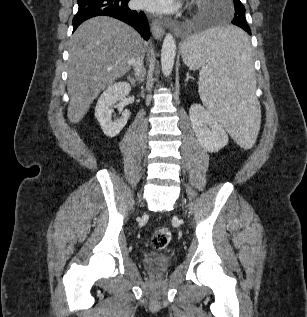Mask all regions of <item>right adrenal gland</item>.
I'll return each instance as SVG.
<instances>
[{"instance_id":"1","label":"right adrenal gland","mask_w":307,"mask_h":317,"mask_svg":"<svg viewBox=\"0 0 307 317\" xmlns=\"http://www.w3.org/2000/svg\"><path fill=\"white\" fill-rule=\"evenodd\" d=\"M144 74H145V71H144V69H142L141 77L139 79V83H141L143 81ZM128 80L130 81L131 84H135L136 83V80L133 77H130V75L128 76Z\"/></svg>"}]
</instances>
